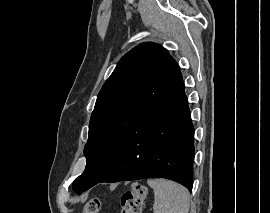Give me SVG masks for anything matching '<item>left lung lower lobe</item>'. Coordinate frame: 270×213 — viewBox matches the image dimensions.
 <instances>
[{
	"label": "left lung lower lobe",
	"instance_id": "0a47b994",
	"mask_svg": "<svg viewBox=\"0 0 270 213\" xmlns=\"http://www.w3.org/2000/svg\"><path fill=\"white\" fill-rule=\"evenodd\" d=\"M194 127L182 79L139 125L99 182L167 178L191 191Z\"/></svg>",
	"mask_w": 270,
	"mask_h": 213
}]
</instances>
